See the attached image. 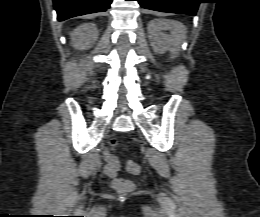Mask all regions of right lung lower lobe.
Segmentation results:
<instances>
[{
  "label": "right lung lower lobe",
  "instance_id": "1",
  "mask_svg": "<svg viewBox=\"0 0 260 217\" xmlns=\"http://www.w3.org/2000/svg\"><path fill=\"white\" fill-rule=\"evenodd\" d=\"M59 21L71 17L103 12L110 8L112 0H53Z\"/></svg>",
  "mask_w": 260,
  "mask_h": 217
}]
</instances>
